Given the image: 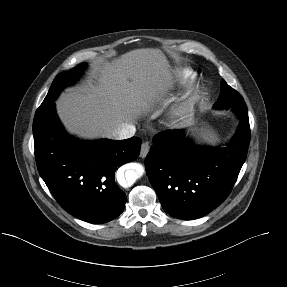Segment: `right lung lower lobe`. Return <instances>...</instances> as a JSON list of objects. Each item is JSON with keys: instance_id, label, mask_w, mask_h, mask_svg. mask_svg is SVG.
<instances>
[{"instance_id": "obj_1", "label": "right lung lower lobe", "mask_w": 287, "mask_h": 287, "mask_svg": "<svg viewBox=\"0 0 287 287\" xmlns=\"http://www.w3.org/2000/svg\"><path fill=\"white\" fill-rule=\"evenodd\" d=\"M35 157L40 176L69 214L105 223L125 208L126 195L115 183V170L135 160L141 139L81 141L62 127L55 100L41 105L33 121Z\"/></svg>"}]
</instances>
